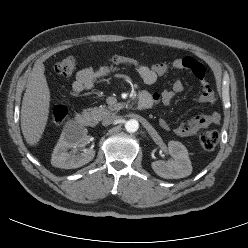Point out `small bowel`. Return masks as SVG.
Returning a JSON list of instances; mask_svg holds the SVG:
<instances>
[{"label":"small bowel","mask_w":248,"mask_h":248,"mask_svg":"<svg viewBox=\"0 0 248 248\" xmlns=\"http://www.w3.org/2000/svg\"><path fill=\"white\" fill-rule=\"evenodd\" d=\"M171 68L177 71H188L198 80L201 90L195 97L197 102L212 104L216 101V94L205 78V66L191 57L176 59L171 64L165 62H159L152 65L141 64L139 67L135 68V70L145 84L152 85L159 77L167 74ZM112 70V66H102L97 69L83 68L77 72L75 80L72 83V90L75 93L88 90L93 87L98 79L107 76ZM183 88V83L180 80H176L170 89H166L160 93H149L144 91L142 94L151 97L152 105L159 102L169 104L177 94L183 91ZM220 120V114L218 112H212L210 114H203L184 120L174 128H171L170 124L165 119H160L159 126L164 130H173L178 136L189 137L196 135L201 130L206 129L211 125L218 124Z\"/></svg>","instance_id":"1"}]
</instances>
